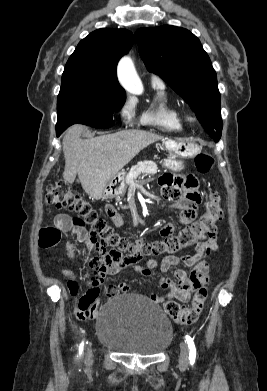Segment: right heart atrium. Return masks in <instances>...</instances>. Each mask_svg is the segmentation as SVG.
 <instances>
[{
  "label": "right heart atrium",
  "instance_id": "obj_1",
  "mask_svg": "<svg viewBox=\"0 0 267 391\" xmlns=\"http://www.w3.org/2000/svg\"><path fill=\"white\" fill-rule=\"evenodd\" d=\"M120 119L127 122L134 114V104L131 100H125L121 105L119 111Z\"/></svg>",
  "mask_w": 267,
  "mask_h": 391
}]
</instances>
